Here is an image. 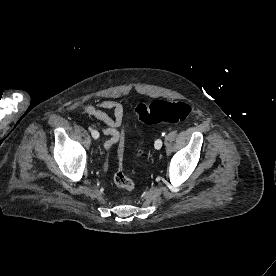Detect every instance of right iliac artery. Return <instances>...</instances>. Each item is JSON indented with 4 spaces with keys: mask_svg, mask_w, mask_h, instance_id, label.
Here are the masks:
<instances>
[{
    "mask_svg": "<svg viewBox=\"0 0 276 276\" xmlns=\"http://www.w3.org/2000/svg\"><path fill=\"white\" fill-rule=\"evenodd\" d=\"M88 129H89L90 131H92V130H93L91 127H89ZM98 137H99V135H98Z\"/></svg>",
    "mask_w": 276,
    "mask_h": 276,
    "instance_id": "1",
    "label": "right iliac artery"
}]
</instances>
